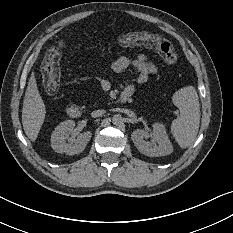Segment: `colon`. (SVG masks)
I'll use <instances>...</instances> for the list:
<instances>
[{
  "label": "colon",
  "instance_id": "colon-1",
  "mask_svg": "<svg viewBox=\"0 0 233 233\" xmlns=\"http://www.w3.org/2000/svg\"><path fill=\"white\" fill-rule=\"evenodd\" d=\"M122 45H150L158 51L167 65H174L177 62V55L170 41L161 37L150 36L141 32L126 34L120 38ZM61 50L59 47H51L47 50L42 66L43 87L47 94L56 93L60 85L59 63Z\"/></svg>",
  "mask_w": 233,
  "mask_h": 233
}]
</instances>
